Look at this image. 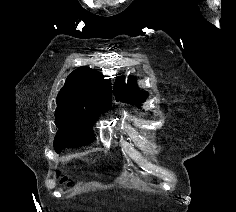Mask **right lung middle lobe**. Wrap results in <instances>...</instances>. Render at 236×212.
Returning a JSON list of instances; mask_svg holds the SVG:
<instances>
[{
	"label": "right lung middle lobe",
	"instance_id": "dd1d6c3e",
	"mask_svg": "<svg viewBox=\"0 0 236 212\" xmlns=\"http://www.w3.org/2000/svg\"><path fill=\"white\" fill-rule=\"evenodd\" d=\"M110 107L111 100L102 102L96 109L57 107L55 123L59 131L54 140L56 152L60 153L64 147H80L92 143L95 139L92 125Z\"/></svg>",
	"mask_w": 236,
	"mask_h": 212
}]
</instances>
